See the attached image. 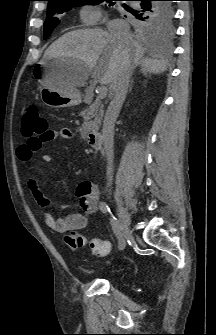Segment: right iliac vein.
I'll return each instance as SVG.
<instances>
[{"label": "right iliac vein", "mask_w": 216, "mask_h": 335, "mask_svg": "<svg viewBox=\"0 0 216 335\" xmlns=\"http://www.w3.org/2000/svg\"><path fill=\"white\" fill-rule=\"evenodd\" d=\"M114 204L116 206L118 217H119L120 223L122 225L123 234L124 235H129L131 233L130 216L127 213L126 209L117 200H114Z\"/></svg>", "instance_id": "right-iliac-vein-1"}]
</instances>
